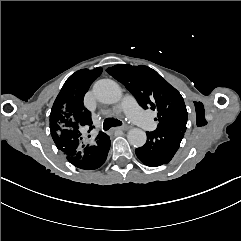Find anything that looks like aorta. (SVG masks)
<instances>
[{"label": "aorta", "mask_w": 241, "mask_h": 241, "mask_svg": "<svg viewBox=\"0 0 241 241\" xmlns=\"http://www.w3.org/2000/svg\"><path fill=\"white\" fill-rule=\"evenodd\" d=\"M96 99L105 104H114L120 101L122 90L119 84L111 79H101L93 86ZM128 141L135 147H141L146 143V133L139 128H132L127 134Z\"/></svg>", "instance_id": "1"}]
</instances>
